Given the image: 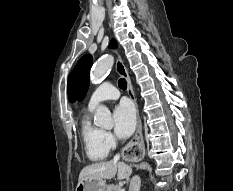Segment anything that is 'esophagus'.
Wrapping results in <instances>:
<instances>
[{
  "instance_id": "esophagus-1",
  "label": "esophagus",
  "mask_w": 233,
  "mask_h": 191,
  "mask_svg": "<svg viewBox=\"0 0 233 191\" xmlns=\"http://www.w3.org/2000/svg\"><path fill=\"white\" fill-rule=\"evenodd\" d=\"M116 57V71L120 76L125 78L127 82V93L130 97V99L133 101V103L136 106L137 110V127L136 132L133 136V138L127 143V145L123 149V155L124 158H127V161L129 162H138L137 156H144V139H143V133H142V122L139 114V109L136 101V97L134 94L132 82L130 79V76L128 74V70L125 67L120 55L118 53Z\"/></svg>"
}]
</instances>
